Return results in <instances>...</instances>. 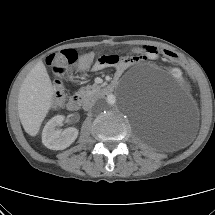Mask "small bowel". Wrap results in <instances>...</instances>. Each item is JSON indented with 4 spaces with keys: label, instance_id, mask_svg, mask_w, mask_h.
<instances>
[{
    "label": "small bowel",
    "instance_id": "c3829d8e",
    "mask_svg": "<svg viewBox=\"0 0 215 215\" xmlns=\"http://www.w3.org/2000/svg\"><path fill=\"white\" fill-rule=\"evenodd\" d=\"M138 54L134 57H118L117 55L109 54L100 57L93 64V70H101L106 67H115L116 72L121 74L123 71L131 67L132 65L145 61V60H156L160 57V50L155 46L144 45L140 48L135 49Z\"/></svg>",
    "mask_w": 215,
    "mask_h": 215
}]
</instances>
